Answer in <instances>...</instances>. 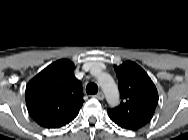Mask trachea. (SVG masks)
Returning <instances> with one entry per match:
<instances>
[{
	"label": "trachea",
	"mask_w": 188,
	"mask_h": 140,
	"mask_svg": "<svg viewBox=\"0 0 188 140\" xmlns=\"http://www.w3.org/2000/svg\"><path fill=\"white\" fill-rule=\"evenodd\" d=\"M86 92L88 94H96L98 92V87L95 83H89L87 86H86Z\"/></svg>",
	"instance_id": "3493384b"
}]
</instances>
